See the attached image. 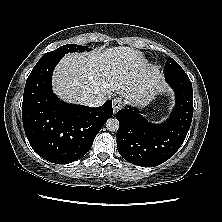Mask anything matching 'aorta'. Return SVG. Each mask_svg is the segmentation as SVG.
<instances>
[{"instance_id": "1", "label": "aorta", "mask_w": 222, "mask_h": 222, "mask_svg": "<svg viewBox=\"0 0 222 222\" xmlns=\"http://www.w3.org/2000/svg\"><path fill=\"white\" fill-rule=\"evenodd\" d=\"M106 128L109 131H117L119 129V121L116 118H110L106 122Z\"/></svg>"}]
</instances>
